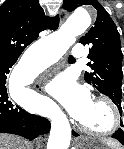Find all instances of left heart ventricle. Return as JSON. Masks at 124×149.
<instances>
[{
	"label": "left heart ventricle",
	"mask_w": 124,
	"mask_h": 149,
	"mask_svg": "<svg viewBox=\"0 0 124 149\" xmlns=\"http://www.w3.org/2000/svg\"><path fill=\"white\" fill-rule=\"evenodd\" d=\"M80 122L95 131H105L112 123L110 109L102 102L93 101L90 109Z\"/></svg>",
	"instance_id": "b2bd125f"
}]
</instances>
